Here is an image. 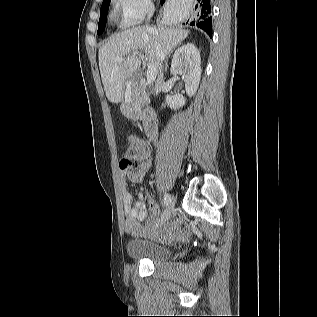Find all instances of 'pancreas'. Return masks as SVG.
I'll use <instances>...</instances> for the list:
<instances>
[{"instance_id": "pancreas-1", "label": "pancreas", "mask_w": 317, "mask_h": 317, "mask_svg": "<svg viewBox=\"0 0 317 317\" xmlns=\"http://www.w3.org/2000/svg\"><path fill=\"white\" fill-rule=\"evenodd\" d=\"M144 102H145V88H141L138 92L132 93L130 107H131V112L135 117L142 119L141 109L144 105Z\"/></svg>"}]
</instances>
